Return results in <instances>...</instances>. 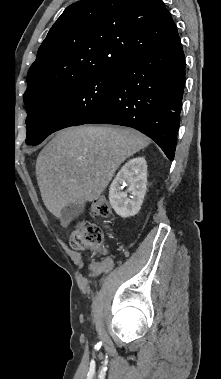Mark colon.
Wrapping results in <instances>:
<instances>
[{
    "instance_id": "5ec220e1",
    "label": "colon",
    "mask_w": 221,
    "mask_h": 379,
    "mask_svg": "<svg viewBox=\"0 0 221 379\" xmlns=\"http://www.w3.org/2000/svg\"><path fill=\"white\" fill-rule=\"evenodd\" d=\"M90 213L96 217H107L111 214V208L106 198L100 197L95 200L91 207ZM103 233L100 226L86 219H81L75 225L71 235L70 244L74 249L86 250L100 245Z\"/></svg>"
}]
</instances>
